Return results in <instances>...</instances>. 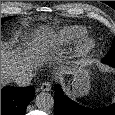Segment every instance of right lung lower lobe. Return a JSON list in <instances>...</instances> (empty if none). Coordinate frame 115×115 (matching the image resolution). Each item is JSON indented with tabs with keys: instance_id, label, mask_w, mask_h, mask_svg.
Wrapping results in <instances>:
<instances>
[{
	"instance_id": "obj_1",
	"label": "right lung lower lobe",
	"mask_w": 115,
	"mask_h": 115,
	"mask_svg": "<svg viewBox=\"0 0 115 115\" xmlns=\"http://www.w3.org/2000/svg\"><path fill=\"white\" fill-rule=\"evenodd\" d=\"M35 89L29 87H5L1 89V115H25Z\"/></svg>"
}]
</instances>
